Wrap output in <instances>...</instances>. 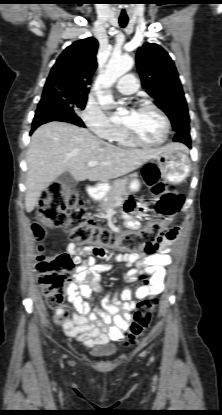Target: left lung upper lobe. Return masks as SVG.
<instances>
[{
  "label": "left lung upper lobe",
  "instance_id": "5c2ea615",
  "mask_svg": "<svg viewBox=\"0 0 222 415\" xmlns=\"http://www.w3.org/2000/svg\"><path fill=\"white\" fill-rule=\"evenodd\" d=\"M142 87L169 117L174 131H189L187 103L176 67L159 45L146 42L136 55Z\"/></svg>",
  "mask_w": 222,
  "mask_h": 415
}]
</instances>
